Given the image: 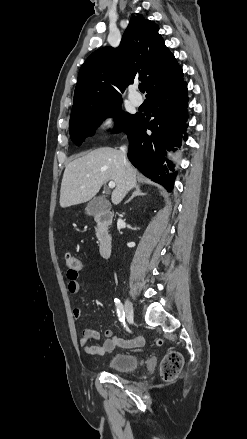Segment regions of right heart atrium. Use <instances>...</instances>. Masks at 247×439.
Returning <instances> with one entry per match:
<instances>
[{
    "label": "right heart atrium",
    "instance_id": "d8ad5b80",
    "mask_svg": "<svg viewBox=\"0 0 247 439\" xmlns=\"http://www.w3.org/2000/svg\"><path fill=\"white\" fill-rule=\"evenodd\" d=\"M116 115L113 111L104 112L98 120V128L102 134H108L114 130L116 126Z\"/></svg>",
    "mask_w": 247,
    "mask_h": 439
}]
</instances>
